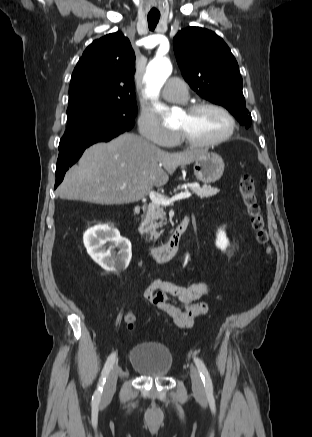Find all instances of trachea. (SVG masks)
I'll list each match as a JSON object with an SVG mask.
<instances>
[{
  "label": "trachea",
  "mask_w": 312,
  "mask_h": 437,
  "mask_svg": "<svg viewBox=\"0 0 312 437\" xmlns=\"http://www.w3.org/2000/svg\"><path fill=\"white\" fill-rule=\"evenodd\" d=\"M159 19H160V14H149L147 16L148 27L151 31L156 28V26L159 22Z\"/></svg>",
  "instance_id": "3493384b"
}]
</instances>
